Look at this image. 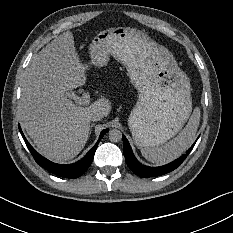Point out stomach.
I'll return each mask as SVG.
<instances>
[{
  "mask_svg": "<svg viewBox=\"0 0 233 233\" xmlns=\"http://www.w3.org/2000/svg\"><path fill=\"white\" fill-rule=\"evenodd\" d=\"M85 72L105 67L110 58L125 65L139 99L129 117L138 148L152 149L176 135L192 110L190 82L172 54L144 32L109 27L91 39Z\"/></svg>",
  "mask_w": 233,
  "mask_h": 233,
  "instance_id": "stomach-1",
  "label": "stomach"
}]
</instances>
